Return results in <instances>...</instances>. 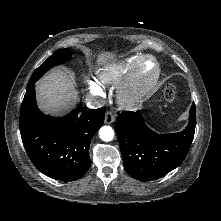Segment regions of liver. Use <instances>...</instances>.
<instances>
[{"mask_svg": "<svg viewBox=\"0 0 221 221\" xmlns=\"http://www.w3.org/2000/svg\"><path fill=\"white\" fill-rule=\"evenodd\" d=\"M109 58V54H101L99 61ZM36 91L39 108L49 114H60L78 101L74 75L68 70H52L37 83Z\"/></svg>", "mask_w": 221, "mask_h": 221, "instance_id": "1", "label": "liver"}]
</instances>
